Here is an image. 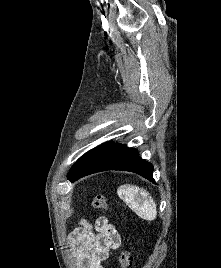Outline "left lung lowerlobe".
<instances>
[{
  "label": "left lung lower lobe",
  "instance_id": "1",
  "mask_svg": "<svg viewBox=\"0 0 221 268\" xmlns=\"http://www.w3.org/2000/svg\"><path fill=\"white\" fill-rule=\"evenodd\" d=\"M106 170L134 172L155 183L152 164L141 159L137 149L112 142L97 146L79 158L70 169L68 179L74 182L83 176Z\"/></svg>",
  "mask_w": 221,
  "mask_h": 268
}]
</instances>
